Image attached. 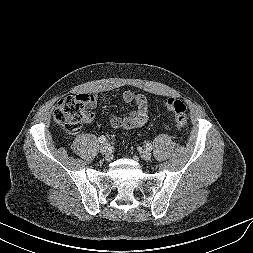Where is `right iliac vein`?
<instances>
[{
    "label": "right iliac vein",
    "mask_w": 253,
    "mask_h": 253,
    "mask_svg": "<svg viewBox=\"0 0 253 253\" xmlns=\"http://www.w3.org/2000/svg\"><path fill=\"white\" fill-rule=\"evenodd\" d=\"M99 150L101 153L105 154L106 156H109L110 146L107 143L101 144Z\"/></svg>",
    "instance_id": "1"
}]
</instances>
